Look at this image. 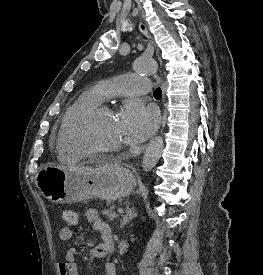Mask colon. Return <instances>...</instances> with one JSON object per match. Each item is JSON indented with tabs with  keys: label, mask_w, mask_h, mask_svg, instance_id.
I'll list each match as a JSON object with an SVG mask.
<instances>
[{
	"label": "colon",
	"mask_w": 263,
	"mask_h": 275,
	"mask_svg": "<svg viewBox=\"0 0 263 275\" xmlns=\"http://www.w3.org/2000/svg\"><path fill=\"white\" fill-rule=\"evenodd\" d=\"M63 220L67 225L75 226L78 223V213L71 209L65 210L63 212Z\"/></svg>",
	"instance_id": "colon-1"
}]
</instances>
